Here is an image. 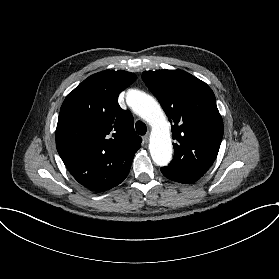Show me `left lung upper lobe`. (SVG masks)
Listing matches in <instances>:
<instances>
[{"mask_svg": "<svg viewBox=\"0 0 279 279\" xmlns=\"http://www.w3.org/2000/svg\"><path fill=\"white\" fill-rule=\"evenodd\" d=\"M142 78L161 103L177 142L166 167L200 179L215 161L223 137L213 91L183 70L145 71Z\"/></svg>", "mask_w": 279, "mask_h": 279, "instance_id": "left-lung-upper-lobe-1", "label": "left lung upper lobe"}]
</instances>
